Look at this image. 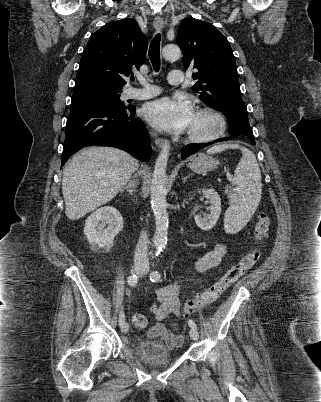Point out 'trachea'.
Instances as JSON below:
<instances>
[{
	"mask_svg": "<svg viewBox=\"0 0 321 402\" xmlns=\"http://www.w3.org/2000/svg\"><path fill=\"white\" fill-rule=\"evenodd\" d=\"M160 34H156L149 47V58L153 65L155 72L160 70ZM134 81V78L132 79Z\"/></svg>",
	"mask_w": 321,
	"mask_h": 402,
	"instance_id": "3493384b",
	"label": "trachea"
}]
</instances>
